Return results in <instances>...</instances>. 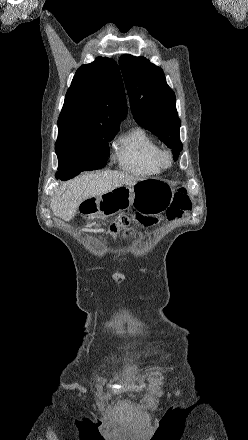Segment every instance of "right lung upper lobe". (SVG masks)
Here are the masks:
<instances>
[{
    "instance_id": "obj_1",
    "label": "right lung upper lobe",
    "mask_w": 248,
    "mask_h": 440,
    "mask_svg": "<svg viewBox=\"0 0 248 440\" xmlns=\"http://www.w3.org/2000/svg\"><path fill=\"white\" fill-rule=\"evenodd\" d=\"M126 115V97L118 65L111 58L98 57L76 71L58 119L55 148L76 143L97 132L119 130Z\"/></svg>"
}]
</instances>
